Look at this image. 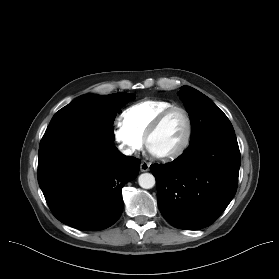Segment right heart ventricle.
Segmentation results:
<instances>
[{
	"instance_id": "e07e8e85",
	"label": "right heart ventricle",
	"mask_w": 279,
	"mask_h": 279,
	"mask_svg": "<svg viewBox=\"0 0 279 279\" xmlns=\"http://www.w3.org/2000/svg\"><path fill=\"white\" fill-rule=\"evenodd\" d=\"M173 105L172 102L162 99H145L125 109L121 114V120L127 128L144 139L147 129L156 116Z\"/></svg>"
}]
</instances>
